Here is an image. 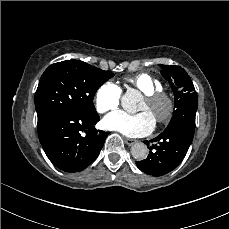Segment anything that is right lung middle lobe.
Returning <instances> with one entry per match:
<instances>
[{"mask_svg": "<svg viewBox=\"0 0 229 229\" xmlns=\"http://www.w3.org/2000/svg\"><path fill=\"white\" fill-rule=\"evenodd\" d=\"M113 76L110 71H103L80 60L50 65L41 76L35 93L37 129L40 130L63 112L97 117L92 103L94 94Z\"/></svg>", "mask_w": 229, "mask_h": 229, "instance_id": "right-lung-middle-lobe-1", "label": "right lung middle lobe"}]
</instances>
